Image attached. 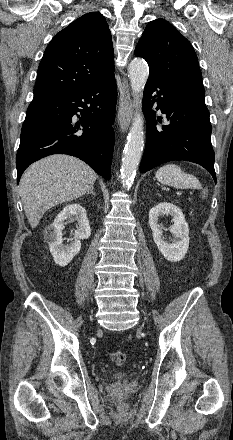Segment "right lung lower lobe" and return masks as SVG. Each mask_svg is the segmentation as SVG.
<instances>
[{"label": "right lung lower lobe", "instance_id": "98d812e1", "mask_svg": "<svg viewBox=\"0 0 233 440\" xmlns=\"http://www.w3.org/2000/svg\"><path fill=\"white\" fill-rule=\"evenodd\" d=\"M116 99L114 74L86 88L34 97L21 129L17 183L31 163L55 153L76 156L109 180Z\"/></svg>", "mask_w": 233, "mask_h": 440}]
</instances>
